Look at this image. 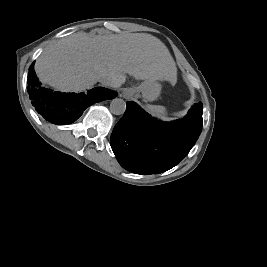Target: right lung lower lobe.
Wrapping results in <instances>:
<instances>
[{
  "label": "right lung lower lobe",
  "instance_id": "obj_1",
  "mask_svg": "<svg viewBox=\"0 0 267 267\" xmlns=\"http://www.w3.org/2000/svg\"><path fill=\"white\" fill-rule=\"evenodd\" d=\"M27 83L29 98L35 110L45 120L56 125L73 123L92 104L117 96L116 92L102 87L78 94L55 92L42 87L32 71L28 74Z\"/></svg>",
  "mask_w": 267,
  "mask_h": 267
}]
</instances>
